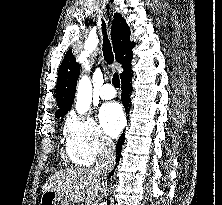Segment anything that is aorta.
<instances>
[{
	"label": "aorta",
	"instance_id": "1",
	"mask_svg": "<svg viewBox=\"0 0 222 205\" xmlns=\"http://www.w3.org/2000/svg\"><path fill=\"white\" fill-rule=\"evenodd\" d=\"M76 98V110L80 115H83L89 110L92 102V85L89 77L83 76L79 80ZM100 205H107V202L104 201Z\"/></svg>",
	"mask_w": 222,
	"mask_h": 205
}]
</instances>
